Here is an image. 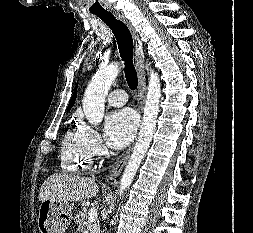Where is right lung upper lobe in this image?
Instances as JSON below:
<instances>
[{"label":"right lung upper lobe","mask_w":253,"mask_h":233,"mask_svg":"<svg viewBox=\"0 0 253 233\" xmlns=\"http://www.w3.org/2000/svg\"><path fill=\"white\" fill-rule=\"evenodd\" d=\"M76 89H77V86H76L74 94H73V96H72V98H71V100L69 102L67 110H70L71 107L73 106L74 102H75V99H76Z\"/></svg>","instance_id":"1"}]
</instances>
